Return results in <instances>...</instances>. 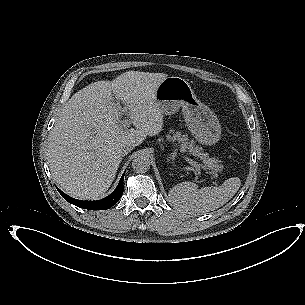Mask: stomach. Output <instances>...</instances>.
Returning a JSON list of instances; mask_svg holds the SVG:
<instances>
[{"label": "stomach", "mask_w": 305, "mask_h": 305, "mask_svg": "<svg viewBox=\"0 0 305 305\" xmlns=\"http://www.w3.org/2000/svg\"><path fill=\"white\" fill-rule=\"evenodd\" d=\"M155 100L163 114L181 109L186 126L200 143L210 145L220 138V124L215 114L198 100L185 79L166 77L155 90Z\"/></svg>", "instance_id": "0dacf381"}]
</instances>
